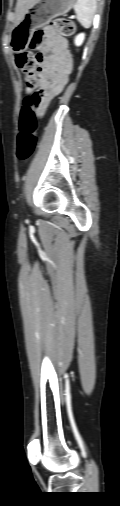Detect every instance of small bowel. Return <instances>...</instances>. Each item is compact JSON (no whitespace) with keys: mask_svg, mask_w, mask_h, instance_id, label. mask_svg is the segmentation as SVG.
Segmentation results:
<instances>
[{"mask_svg":"<svg viewBox=\"0 0 120 506\" xmlns=\"http://www.w3.org/2000/svg\"><path fill=\"white\" fill-rule=\"evenodd\" d=\"M37 57L42 97L39 113L42 115L66 86L73 68V59L65 39L52 28L45 29L44 42Z\"/></svg>","mask_w":120,"mask_h":506,"instance_id":"c3829d8e","label":"small bowel"}]
</instances>
